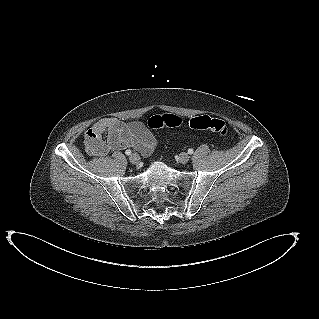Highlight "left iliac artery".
Wrapping results in <instances>:
<instances>
[{"mask_svg": "<svg viewBox=\"0 0 319 319\" xmlns=\"http://www.w3.org/2000/svg\"><path fill=\"white\" fill-rule=\"evenodd\" d=\"M193 152H194V150H193V149H191V148H190V149H188V153H189V154H193Z\"/></svg>", "mask_w": 319, "mask_h": 319, "instance_id": "44dca946", "label": "left iliac artery"}]
</instances>
